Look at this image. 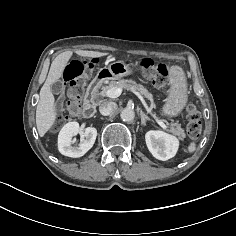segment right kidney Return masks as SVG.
Segmentation results:
<instances>
[{"mask_svg":"<svg viewBox=\"0 0 236 236\" xmlns=\"http://www.w3.org/2000/svg\"><path fill=\"white\" fill-rule=\"evenodd\" d=\"M77 134H80L83 139L78 146H73L72 138ZM96 136V128L87 127L84 131H81L77 122H69L63 126L58 135V150L61 154L68 157H81L92 148Z\"/></svg>","mask_w":236,"mask_h":236,"instance_id":"ca27d5eb","label":"right kidney"}]
</instances>
